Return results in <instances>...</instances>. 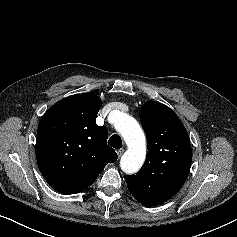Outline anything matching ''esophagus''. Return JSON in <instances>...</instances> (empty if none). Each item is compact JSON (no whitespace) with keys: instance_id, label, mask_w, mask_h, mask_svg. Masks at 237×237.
<instances>
[{"instance_id":"esophagus-1","label":"esophagus","mask_w":237,"mask_h":237,"mask_svg":"<svg viewBox=\"0 0 237 237\" xmlns=\"http://www.w3.org/2000/svg\"><path fill=\"white\" fill-rule=\"evenodd\" d=\"M123 153H124V149H119V150L117 151L118 157L120 158V157L123 155Z\"/></svg>"}]
</instances>
